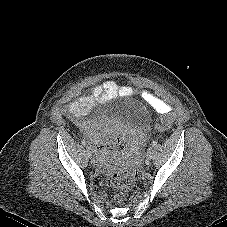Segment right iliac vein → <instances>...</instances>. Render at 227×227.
I'll list each match as a JSON object with an SVG mask.
<instances>
[{"mask_svg": "<svg viewBox=\"0 0 227 227\" xmlns=\"http://www.w3.org/2000/svg\"><path fill=\"white\" fill-rule=\"evenodd\" d=\"M86 153L89 158H92V152H91L90 148H88V147L86 148Z\"/></svg>", "mask_w": 227, "mask_h": 227, "instance_id": "63e3f726", "label": "right iliac vein"}]
</instances>
